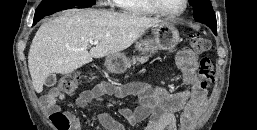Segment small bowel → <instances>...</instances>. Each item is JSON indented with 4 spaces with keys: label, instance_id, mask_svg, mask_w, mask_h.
<instances>
[{
    "label": "small bowel",
    "instance_id": "1",
    "mask_svg": "<svg viewBox=\"0 0 257 130\" xmlns=\"http://www.w3.org/2000/svg\"><path fill=\"white\" fill-rule=\"evenodd\" d=\"M176 63L181 71L182 81L187 86V89L181 92L171 93L162 87H151L144 83L114 85L104 81L92 89L83 91L76 104L79 108L85 109L89 103L102 102L106 96L119 99L134 96L138 102L134 109H119V113L130 124L145 122L143 130H188L205 105L207 93L201 88L196 73L198 57L192 50H181L177 54ZM62 98V93L52 89L42 98V105L46 110L60 111L57 101ZM176 113L180 114L179 122ZM66 114L71 121L70 130H82L81 120L70 113ZM96 119L105 130H126L122 123L107 112H99Z\"/></svg>",
    "mask_w": 257,
    "mask_h": 130
}]
</instances>
